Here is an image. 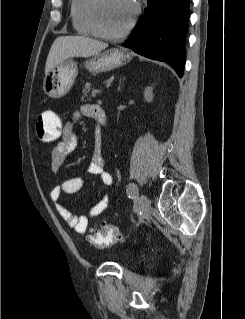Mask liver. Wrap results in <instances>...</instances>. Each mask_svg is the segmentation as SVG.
<instances>
[{
    "label": "liver",
    "mask_w": 245,
    "mask_h": 319,
    "mask_svg": "<svg viewBox=\"0 0 245 319\" xmlns=\"http://www.w3.org/2000/svg\"><path fill=\"white\" fill-rule=\"evenodd\" d=\"M108 47L107 43L86 36H60L55 39L49 51L45 75L56 65L71 57L98 55Z\"/></svg>",
    "instance_id": "6515ba94"
}]
</instances>
